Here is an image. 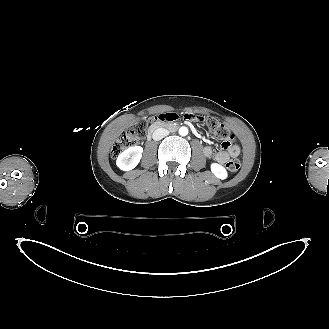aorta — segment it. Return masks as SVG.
<instances>
[{
  "instance_id": "aorta-1",
  "label": "aorta",
  "mask_w": 329,
  "mask_h": 329,
  "mask_svg": "<svg viewBox=\"0 0 329 329\" xmlns=\"http://www.w3.org/2000/svg\"><path fill=\"white\" fill-rule=\"evenodd\" d=\"M188 134V128L185 126H182L179 128V135L186 136Z\"/></svg>"
}]
</instances>
